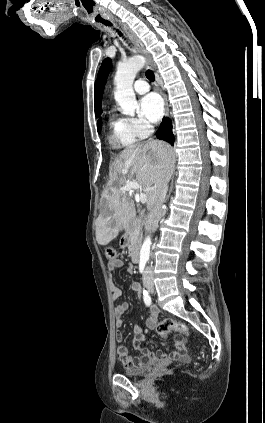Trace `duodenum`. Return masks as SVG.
Segmentation results:
<instances>
[{"instance_id": "1", "label": "duodenum", "mask_w": 265, "mask_h": 423, "mask_svg": "<svg viewBox=\"0 0 265 423\" xmlns=\"http://www.w3.org/2000/svg\"><path fill=\"white\" fill-rule=\"evenodd\" d=\"M130 254H131L132 261L134 263H138L140 260V252H139V245L135 240L131 241Z\"/></svg>"}]
</instances>
